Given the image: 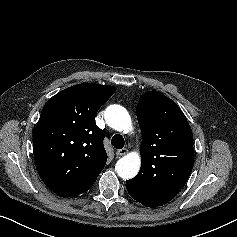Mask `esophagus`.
Here are the masks:
<instances>
[{
  "label": "esophagus",
  "instance_id": "obj_1",
  "mask_svg": "<svg viewBox=\"0 0 237 237\" xmlns=\"http://www.w3.org/2000/svg\"><path fill=\"white\" fill-rule=\"evenodd\" d=\"M127 152H128V150H127L126 148L119 149V150L116 151V155H117V156H123V155H125Z\"/></svg>",
  "mask_w": 237,
  "mask_h": 237
}]
</instances>
